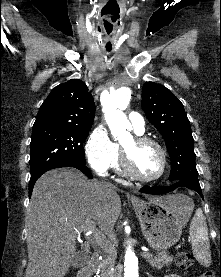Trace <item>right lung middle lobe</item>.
Here are the masks:
<instances>
[{"label":"right lung middle lobe","instance_id":"dd1d6c3e","mask_svg":"<svg viewBox=\"0 0 221 277\" xmlns=\"http://www.w3.org/2000/svg\"><path fill=\"white\" fill-rule=\"evenodd\" d=\"M91 127H33L30 143L31 177H37L63 164H85V142Z\"/></svg>","mask_w":221,"mask_h":277}]
</instances>
